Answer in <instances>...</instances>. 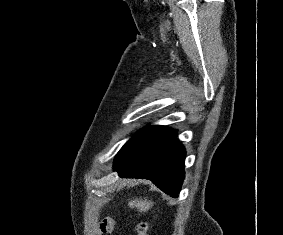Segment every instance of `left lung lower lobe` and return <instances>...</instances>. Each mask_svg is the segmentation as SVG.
Instances as JSON below:
<instances>
[{
    "mask_svg": "<svg viewBox=\"0 0 283 235\" xmlns=\"http://www.w3.org/2000/svg\"><path fill=\"white\" fill-rule=\"evenodd\" d=\"M185 149L176 131L148 126L138 131L115 157L114 170L127 178H144L178 197L184 178Z\"/></svg>",
    "mask_w": 283,
    "mask_h": 235,
    "instance_id": "left-lung-lower-lobe-1",
    "label": "left lung lower lobe"
}]
</instances>
